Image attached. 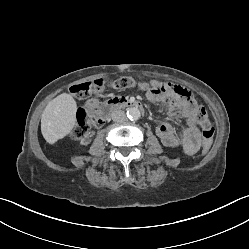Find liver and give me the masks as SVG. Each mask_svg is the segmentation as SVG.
Listing matches in <instances>:
<instances>
[{"mask_svg":"<svg viewBox=\"0 0 249 249\" xmlns=\"http://www.w3.org/2000/svg\"><path fill=\"white\" fill-rule=\"evenodd\" d=\"M77 103L63 93L51 100L41 116V133L49 144L67 136L76 125Z\"/></svg>","mask_w":249,"mask_h":249,"instance_id":"6515ba94","label":"liver"}]
</instances>
